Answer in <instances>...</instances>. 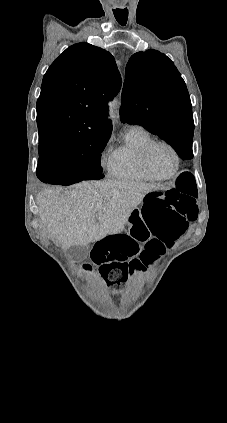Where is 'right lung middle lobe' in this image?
<instances>
[{
    "instance_id": "dd1d6c3e",
    "label": "right lung middle lobe",
    "mask_w": 227,
    "mask_h": 423,
    "mask_svg": "<svg viewBox=\"0 0 227 423\" xmlns=\"http://www.w3.org/2000/svg\"><path fill=\"white\" fill-rule=\"evenodd\" d=\"M110 135H82L39 144V161H50L68 169L80 180L102 179L101 152Z\"/></svg>"
}]
</instances>
